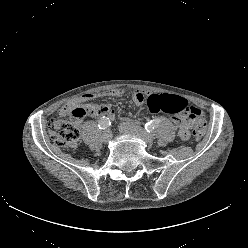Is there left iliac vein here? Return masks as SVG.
<instances>
[{"mask_svg": "<svg viewBox=\"0 0 248 248\" xmlns=\"http://www.w3.org/2000/svg\"><path fill=\"white\" fill-rule=\"evenodd\" d=\"M119 130L124 134L140 138L148 145H152L154 143V137L152 134L147 133L144 129L129 122L120 124Z\"/></svg>", "mask_w": 248, "mask_h": 248, "instance_id": "left-iliac-vein-1", "label": "left iliac vein"}]
</instances>
